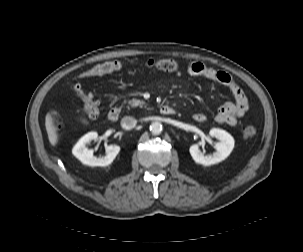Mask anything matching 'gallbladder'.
Masks as SVG:
<instances>
[{"label":"gallbladder","mask_w":303,"mask_h":252,"mask_svg":"<svg viewBox=\"0 0 303 252\" xmlns=\"http://www.w3.org/2000/svg\"><path fill=\"white\" fill-rule=\"evenodd\" d=\"M80 121L84 123V122H85V119H84V118H80Z\"/></svg>","instance_id":"obj_1"}]
</instances>
